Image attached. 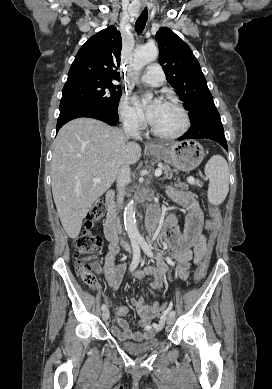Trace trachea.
Here are the masks:
<instances>
[{"label":"trachea","instance_id":"obj_1","mask_svg":"<svg viewBox=\"0 0 272 389\" xmlns=\"http://www.w3.org/2000/svg\"><path fill=\"white\" fill-rule=\"evenodd\" d=\"M147 19H148V11H147V8H145L140 16L138 17V19L136 20V23H135V31L138 33V34H141L144 30V27L146 25V22H147Z\"/></svg>","mask_w":272,"mask_h":389}]
</instances>
